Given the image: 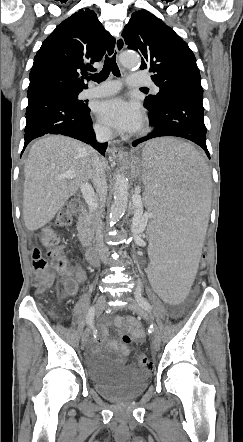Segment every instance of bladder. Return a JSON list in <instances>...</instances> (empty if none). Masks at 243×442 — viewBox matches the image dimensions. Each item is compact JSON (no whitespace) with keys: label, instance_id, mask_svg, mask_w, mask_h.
Masks as SVG:
<instances>
[{"label":"bladder","instance_id":"31cf9c89","mask_svg":"<svg viewBox=\"0 0 243 442\" xmlns=\"http://www.w3.org/2000/svg\"><path fill=\"white\" fill-rule=\"evenodd\" d=\"M86 371L95 391L115 402L138 398L145 391L149 378L145 370L106 353L91 354Z\"/></svg>","mask_w":243,"mask_h":442}]
</instances>
